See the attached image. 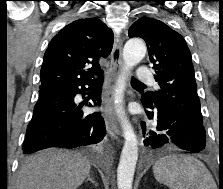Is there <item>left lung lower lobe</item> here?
<instances>
[{
	"mask_svg": "<svg viewBox=\"0 0 223 189\" xmlns=\"http://www.w3.org/2000/svg\"><path fill=\"white\" fill-rule=\"evenodd\" d=\"M141 102L147 108L146 114L151 123V127L146 128L145 122H142L145 147L155 149L165 144H175L192 153L205 149L206 132L203 125L172 117L143 99Z\"/></svg>",
	"mask_w": 223,
	"mask_h": 189,
	"instance_id": "1",
	"label": "left lung lower lobe"
}]
</instances>
